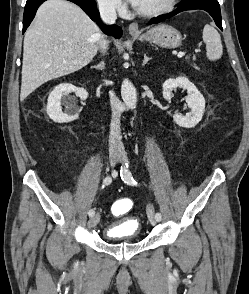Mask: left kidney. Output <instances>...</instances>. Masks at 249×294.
<instances>
[{
    "label": "left kidney",
    "instance_id": "obj_1",
    "mask_svg": "<svg viewBox=\"0 0 249 294\" xmlns=\"http://www.w3.org/2000/svg\"><path fill=\"white\" fill-rule=\"evenodd\" d=\"M183 88L187 90L186 102L191 112L187 116L175 113L173 115L174 122L184 128L195 127L202 119L205 111V99L197 87L189 81L188 78L180 76L177 78H169L163 84V97L165 100H171L172 91L175 88Z\"/></svg>",
    "mask_w": 249,
    "mask_h": 294
}]
</instances>
